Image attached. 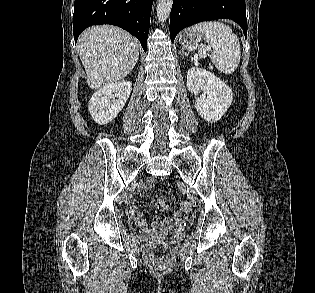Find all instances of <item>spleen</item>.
Here are the masks:
<instances>
[{
  "instance_id": "3e777b00",
  "label": "spleen",
  "mask_w": 315,
  "mask_h": 293,
  "mask_svg": "<svg viewBox=\"0 0 315 293\" xmlns=\"http://www.w3.org/2000/svg\"><path fill=\"white\" fill-rule=\"evenodd\" d=\"M188 33L203 37L213 48L210 59L219 71L231 74L237 69L241 58L240 43L229 26L219 21H205L191 26ZM198 55L207 56L204 46L198 48Z\"/></svg>"
}]
</instances>
